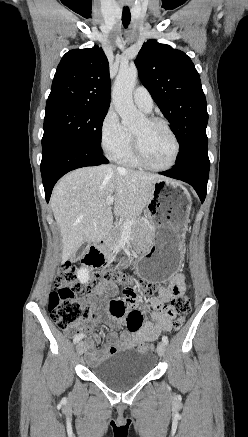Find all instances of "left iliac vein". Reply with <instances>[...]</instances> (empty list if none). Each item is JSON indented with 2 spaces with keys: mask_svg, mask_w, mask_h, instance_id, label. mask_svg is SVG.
<instances>
[{
  "mask_svg": "<svg viewBox=\"0 0 248 437\" xmlns=\"http://www.w3.org/2000/svg\"><path fill=\"white\" fill-rule=\"evenodd\" d=\"M166 352V344L164 342H159L157 345V353L160 357H163Z\"/></svg>",
  "mask_w": 248,
  "mask_h": 437,
  "instance_id": "1",
  "label": "left iliac vein"
}]
</instances>
